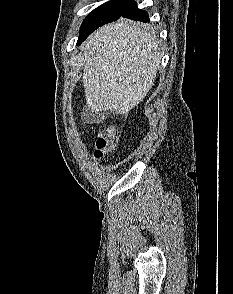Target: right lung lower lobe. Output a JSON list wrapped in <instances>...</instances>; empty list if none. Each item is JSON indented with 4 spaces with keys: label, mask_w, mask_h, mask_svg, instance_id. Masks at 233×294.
<instances>
[{
    "label": "right lung lower lobe",
    "mask_w": 233,
    "mask_h": 294,
    "mask_svg": "<svg viewBox=\"0 0 233 294\" xmlns=\"http://www.w3.org/2000/svg\"><path fill=\"white\" fill-rule=\"evenodd\" d=\"M121 17L129 18L131 20H137L142 22H149V16L146 11L140 10L137 7V4L135 1H131V3L128 5L124 13L121 15ZM109 23V22H108ZM106 24V23H105ZM104 24L98 25L86 33H83L82 35H79L78 38V45L88 37L89 34H91L95 29L102 26Z\"/></svg>",
    "instance_id": "obj_1"
}]
</instances>
